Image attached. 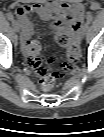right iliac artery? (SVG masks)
Returning <instances> with one entry per match:
<instances>
[{
  "mask_svg": "<svg viewBox=\"0 0 104 137\" xmlns=\"http://www.w3.org/2000/svg\"><path fill=\"white\" fill-rule=\"evenodd\" d=\"M7 18L10 20V21H13L14 20V17L12 15V13H7Z\"/></svg>",
  "mask_w": 104,
  "mask_h": 137,
  "instance_id": "1",
  "label": "right iliac artery"
}]
</instances>
